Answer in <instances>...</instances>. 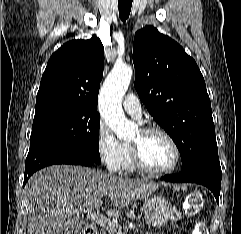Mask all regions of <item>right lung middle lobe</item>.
Segmentation results:
<instances>
[{"label":"right lung middle lobe","mask_w":241,"mask_h":234,"mask_svg":"<svg viewBox=\"0 0 241 234\" xmlns=\"http://www.w3.org/2000/svg\"><path fill=\"white\" fill-rule=\"evenodd\" d=\"M99 127L97 109L70 104L36 106L30 149L50 143L65 144L99 164Z\"/></svg>","instance_id":"right-lung-middle-lobe-1"}]
</instances>
